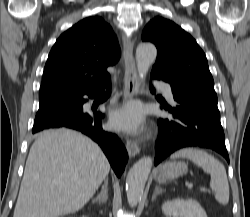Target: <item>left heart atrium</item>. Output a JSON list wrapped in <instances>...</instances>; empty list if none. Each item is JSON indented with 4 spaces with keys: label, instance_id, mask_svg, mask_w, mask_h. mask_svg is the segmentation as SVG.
I'll use <instances>...</instances> for the list:
<instances>
[{
    "label": "left heart atrium",
    "instance_id": "left-heart-atrium-1",
    "mask_svg": "<svg viewBox=\"0 0 250 217\" xmlns=\"http://www.w3.org/2000/svg\"><path fill=\"white\" fill-rule=\"evenodd\" d=\"M112 128L129 133H138L143 129V116L141 110L134 104H129L114 111L110 115Z\"/></svg>",
    "mask_w": 250,
    "mask_h": 217
}]
</instances>
